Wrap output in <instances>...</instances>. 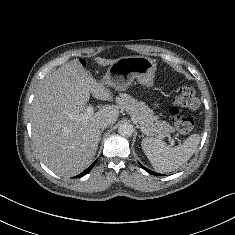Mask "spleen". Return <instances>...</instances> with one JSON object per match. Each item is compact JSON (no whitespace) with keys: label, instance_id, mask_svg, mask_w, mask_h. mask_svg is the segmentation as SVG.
I'll return each mask as SVG.
<instances>
[{"label":"spleen","instance_id":"spleen-1","mask_svg":"<svg viewBox=\"0 0 235 235\" xmlns=\"http://www.w3.org/2000/svg\"><path fill=\"white\" fill-rule=\"evenodd\" d=\"M200 135H190L182 144L170 148L158 138H145L141 142L142 149L153 168L159 173H167L186 163L196 151Z\"/></svg>","mask_w":235,"mask_h":235}]
</instances>
